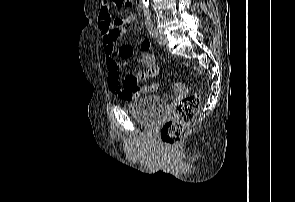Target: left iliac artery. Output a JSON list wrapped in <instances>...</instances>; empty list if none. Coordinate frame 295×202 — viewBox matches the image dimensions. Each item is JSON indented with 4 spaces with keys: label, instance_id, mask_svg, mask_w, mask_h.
Listing matches in <instances>:
<instances>
[{
    "label": "left iliac artery",
    "instance_id": "44dca946",
    "mask_svg": "<svg viewBox=\"0 0 295 202\" xmlns=\"http://www.w3.org/2000/svg\"><path fill=\"white\" fill-rule=\"evenodd\" d=\"M146 26L148 28V31L149 33L152 35V36H155L156 35V29L153 25V22L152 21H147L146 22Z\"/></svg>",
    "mask_w": 295,
    "mask_h": 202
}]
</instances>
